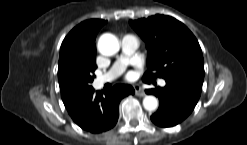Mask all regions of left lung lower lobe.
I'll use <instances>...</instances> for the list:
<instances>
[{
  "label": "left lung lower lobe",
  "mask_w": 247,
  "mask_h": 145,
  "mask_svg": "<svg viewBox=\"0 0 247 145\" xmlns=\"http://www.w3.org/2000/svg\"><path fill=\"white\" fill-rule=\"evenodd\" d=\"M166 86L145 90L159 98L160 105L151 116L154 124L172 127L182 122L193 111L202 89V84L180 77L165 79Z\"/></svg>",
  "instance_id": "left-lung-lower-lobe-1"
}]
</instances>
